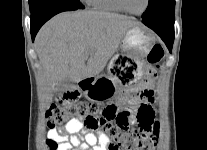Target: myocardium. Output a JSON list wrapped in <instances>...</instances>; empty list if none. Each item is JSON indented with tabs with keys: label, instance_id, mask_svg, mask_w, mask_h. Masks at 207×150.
<instances>
[{
	"label": "myocardium",
	"instance_id": "obj_1",
	"mask_svg": "<svg viewBox=\"0 0 207 150\" xmlns=\"http://www.w3.org/2000/svg\"><path fill=\"white\" fill-rule=\"evenodd\" d=\"M116 2L118 3V5L120 6V8L123 11H125L129 14L135 15V16H140L147 11V9L149 7L150 0H146L145 7L140 12H133V11L129 10L125 5L124 0H116Z\"/></svg>",
	"mask_w": 207,
	"mask_h": 150
}]
</instances>
